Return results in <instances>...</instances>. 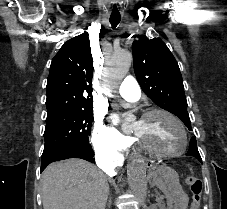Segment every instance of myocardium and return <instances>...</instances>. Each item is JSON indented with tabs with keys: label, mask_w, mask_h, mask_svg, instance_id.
<instances>
[{
	"label": "myocardium",
	"mask_w": 227,
	"mask_h": 209,
	"mask_svg": "<svg viewBox=\"0 0 227 209\" xmlns=\"http://www.w3.org/2000/svg\"><path fill=\"white\" fill-rule=\"evenodd\" d=\"M156 113H161V114L166 115L179 127V129L182 133V138H183L182 146L179 149L172 150V151H160L158 149L151 147L148 143L143 141L136 133H134V139L145 151H147L149 154L156 156V157L168 158V157H174V156H178V155L182 154L188 146V134H187L185 125L174 113H172L171 111H169L165 108H158V107L151 108V109H148L147 111H145L142 114L141 119H144V118L151 116L153 114H156Z\"/></svg>",
	"instance_id": "myocardium-1"
}]
</instances>
